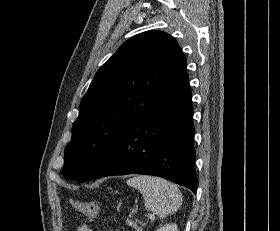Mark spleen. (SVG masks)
I'll use <instances>...</instances> for the list:
<instances>
[{"label":"spleen","mask_w":280,"mask_h":231,"mask_svg":"<svg viewBox=\"0 0 280 231\" xmlns=\"http://www.w3.org/2000/svg\"><path fill=\"white\" fill-rule=\"evenodd\" d=\"M126 183L137 187L141 191L145 201V207L152 209L161 219L166 215L175 213L182 203V193L175 183L166 181L162 177L153 175H136L130 177Z\"/></svg>","instance_id":"spleen-1"}]
</instances>
